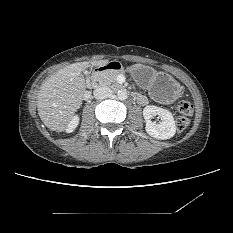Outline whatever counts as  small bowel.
<instances>
[{"label": "small bowel", "instance_id": "c3829d8e", "mask_svg": "<svg viewBox=\"0 0 233 233\" xmlns=\"http://www.w3.org/2000/svg\"><path fill=\"white\" fill-rule=\"evenodd\" d=\"M137 101L141 105H146L147 104V98L141 94H138Z\"/></svg>", "mask_w": 233, "mask_h": 233}]
</instances>
